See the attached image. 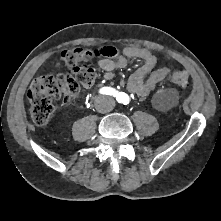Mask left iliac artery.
Here are the masks:
<instances>
[{
  "label": "left iliac artery",
  "instance_id": "left-iliac-artery-1",
  "mask_svg": "<svg viewBox=\"0 0 221 221\" xmlns=\"http://www.w3.org/2000/svg\"><path fill=\"white\" fill-rule=\"evenodd\" d=\"M117 100H118L119 102H122V101L124 100V96H123L122 93H118Z\"/></svg>",
  "mask_w": 221,
  "mask_h": 221
}]
</instances>
